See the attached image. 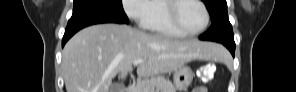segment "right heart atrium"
<instances>
[{"instance_id": "obj_1", "label": "right heart atrium", "mask_w": 296, "mask_h": 92, "mask_svg": "<svg viewBox=\"0 0 296 92\" xmlns=\"http://www.w3.org/2000/svg\"><path fill=\"white\" fill-rule=\"evenodd\" d=\"M150 2L148 0H124V11L131 21L144 25L150 16Z\"/></svg>"}]
</instances>
